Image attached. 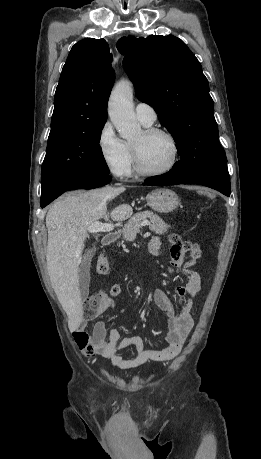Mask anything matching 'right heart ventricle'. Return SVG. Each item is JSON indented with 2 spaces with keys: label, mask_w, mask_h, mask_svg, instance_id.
Instances as JSON below:
<instances>
[{
  "label": "right heart ventricle",
  "mask_w": 261,
  "mask_h": 459,
  "mask_svg": "<svg viewBox=\"0 0 261 459\" xmlns=\"http://www.w3.org/2000/svg\"><path fill=\"white\" fill-rule=\"evenodd\" d=\"M144 125H145V124H144ZM145 126H149V125H145ZM125 144H126V147H127L128 151H129V153H130V155H131L132 162H133V155H132L131 145L128 144V143H125ZM131 171H132V169H130L129 174L131 173Z\"/></svg>",
  "instance_id": "e07e8e85"
}]
</instances>
